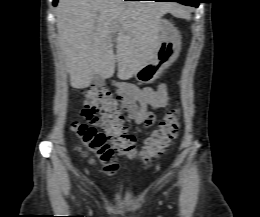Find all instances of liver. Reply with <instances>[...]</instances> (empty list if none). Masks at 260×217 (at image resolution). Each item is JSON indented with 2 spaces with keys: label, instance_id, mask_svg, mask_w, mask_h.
Listing matches in <instances>:
<instances>
[{
  "label": "liver",
  "instance_id": "liver-1",
  "mask_svg": "<svg viewBox=\"0 0 260 217\" xmlns=\"http://www.w3.org/2000/svg\"><path fill=\"white\" fill-rule=\"evenodd\" d=\"M188 14L169 2L123 0H60L57 6L58 42L77 89L91 84L93 75L110 78L118 63V77L129 79L155 57L161 17ZM118 33L116 55L112 35Z\"/></svg>",
  "mask_w": 260,
  "mask_h": 217
}]
</instances>
